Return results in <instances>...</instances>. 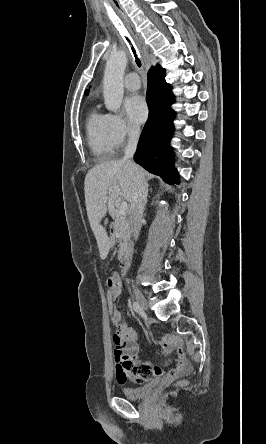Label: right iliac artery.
Wrapping results in <instances>:
<instances>
[{
    "label": "right iliac artery",
    "mask_w": 266,
    "mask_h": 444,
    "mask_svg": "<svg viewBox=\"0 0 266 444\" xmlns=\"http://www.w3.org/2000/svg\"><path fill=\"white\" fill-rule=\"evenodd\" d=\"M133 309H134L135 312H139L140 311V306L138 305L137 302L133 303Z\"/></svg>",
    "instance_id": "82829eb1"
}]
</instances>
